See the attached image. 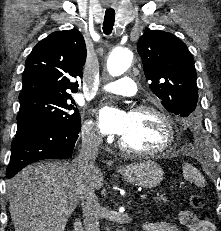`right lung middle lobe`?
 Masks as SVG:
<instances>
[{
  "instance_id": "dd1d6c3e",
  "label": "right lung middle lobe",
  "mask_w": 221,
  "mask_h": 231,
  "mask_svg": "<svg viewBox=\"0 0 221 231\" xmlns=\"http://www.w3.org/2000/svg\"><path fill=\"white\" fill-rule=\"evenodd\" d=\"M71 95H37L20 99L17 131L31 123L49 122L81 129L78 109Z\"/></svg>"
}]
</instances>
